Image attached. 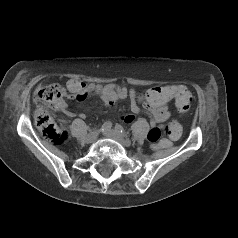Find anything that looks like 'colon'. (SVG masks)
I'll use <instances>...</instances> for the list:
<instances>
[{
  "label": "colon",
  "instance_id": "1",
  "mask_svg": "<svg viewBox=\"0 0 238 238\" xmlns=\"http://www.w3.org/2000/svg\"><path fill=\"white\" fill-rule=\"evenodd\" d=\"M167 97L175 98L177 108L181 112L189 109L192 97L190 92L184 86H175L174 89L166 91ZM65 97L63 88L56 83L39 85L35 92L34 98L37 102V108L34 113L35 124L41 131L42 135L55 144H62L67 139V133L53 121L48 110L49 107L56 108ZM164 134L167 140L160 143V146H168V140H176L181 134V127L177 122H171L165 129ZM162 136V130L159 127H152L148 133V140L151 143H157Z\"/></svg>",
  "mask_w": 238,
  "mask_h": 238
}]
</instances>
